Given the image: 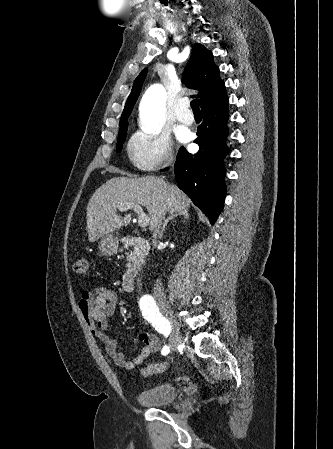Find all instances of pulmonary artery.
Listing matches in <instances>:
<instances>
[{
    "label": "pulmonary artery",
    "mask_w": 333,
    "mask_h": 449,
    "mask_svg": "<svg viewBox=\"0 0 333 449\" xmlns=\"http://www.w3.org/2000/svg\"><path fill=\"white\" fill-rule=\"evenodd\" d=\"M176 118L179 122L184 124H191L194 121V116L188 109V104L185 101H180L176 107Z\"/></svg>",
    "instance_id": "e3ab8cb5"
}]
</instances>
